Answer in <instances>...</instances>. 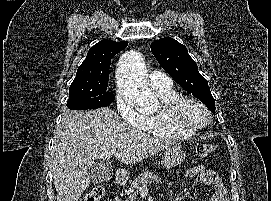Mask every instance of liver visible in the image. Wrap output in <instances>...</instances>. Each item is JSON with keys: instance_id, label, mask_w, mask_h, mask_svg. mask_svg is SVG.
Segmentation results:
<instances>
[{"instance_id": "obj_1", "label": "liver", "mask_w": 271, "mask_h": 201, "mask_svg": "<svg viewBox=\"0 0 271 201\" xmlns=\"http://www.w3.org/2000/svg\"><path fill=\"white\" fill-rule=\"evenodd\" d=\"M173 144L131 127L110 108L66 111L55 130L52 150L57 201H78L90 185L88 169L95 160L115 156L134 164Z\"/></svg>"}]
</instances>
